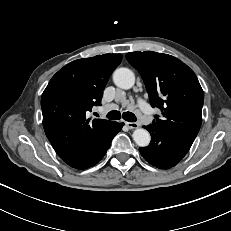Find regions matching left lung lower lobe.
Wrapping results in <instances>:
<instances>
[{
  "mask_svg": "<svg viewBox=\"0 0 231 231\" xmlns=\"http://www.w3.org/2000/svg\"><path fill=\"white\" fill-rule=\"evenodd\" d=\"M144 128L150 132L152 139L147 147H141L139 151L146 161L160 169H169L175 166L191 147L190 144L156 125L150 124Z\"/></svg>",
  "mask_w": 231,
  "mask_h": 231,
  "instance_id": "1",
  "label": "left lung lower lobe"
}]
</instances>
